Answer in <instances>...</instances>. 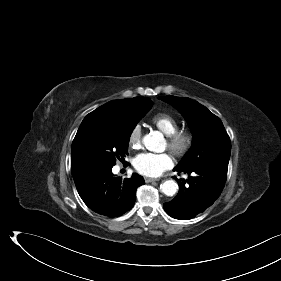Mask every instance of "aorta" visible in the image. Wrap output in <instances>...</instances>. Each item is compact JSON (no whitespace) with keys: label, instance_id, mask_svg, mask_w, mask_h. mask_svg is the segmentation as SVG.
Here are the masks:
<instances>
[{"label":"aorta","instance_id":"762f6f07","mask_svg":"<svg viewBox=\"0 0 281 281\" xmlns=\"http://www.w3.org/2000/svg\"><path fill=\"white\" fill-rule=\"evenodd\" d=\"M163 142V135L160 132L154 131L145 135L143 143L149 151H157ZM161 191L167 196H173L178 191V185L174 180H166L160 185Z\"/></svg>","mask_w":281,"mask_h":281}]
</instances>
